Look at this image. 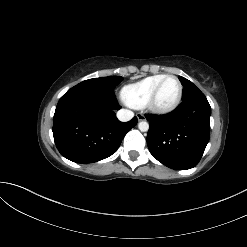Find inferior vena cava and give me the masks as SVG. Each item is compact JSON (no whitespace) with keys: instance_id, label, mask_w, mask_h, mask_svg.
I'll return each instance as SVG.
<instances>
[{"instance_id":"obj_1","label":"inferior vena cava","mask_w":247,"mask_h":247,"mask_svg":"<svg viewBox=\"0 0 247 247\" xmlns=\"http://www.w3.org/2000/svg\"><path fill=\"white\" fill-rule=\"evenodd\" d=\"M133 117H134V113L131 110L121 109L117 112V118L122 122L129 121Z\"/></svg>"}]
</instances>
